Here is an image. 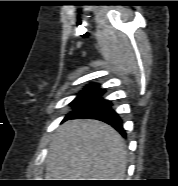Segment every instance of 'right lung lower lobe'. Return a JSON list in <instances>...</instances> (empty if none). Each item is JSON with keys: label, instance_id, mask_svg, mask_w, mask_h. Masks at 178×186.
I'll return each mask as SVG.
<instances>
[{"label": "right lung lower lobe", "instance_id": "right-lung-lower-lobe-1", "mask_svg": "<svg viewBox=\"0 0 178 186\" xmlns=\"http://www.w3.org/2000/svg\"><path fill=\"white\" fill-rule=\"evenodd\" d=\"M77 118L101 120L107 124H110L123 136H125V132L122 128V121L119 115L112 109L111 102L101 97L87 104L77 112L66 116L64 120Z\"/></svg>", "mask_w": 178, "mask_h": 186}]
</instances>
